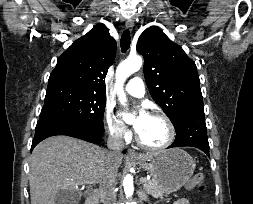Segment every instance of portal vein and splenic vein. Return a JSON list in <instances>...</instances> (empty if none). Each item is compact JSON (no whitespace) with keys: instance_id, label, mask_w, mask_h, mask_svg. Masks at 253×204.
I'll return each instance as SVG.
<instances>
[{"instance_id":"portal-vein-and-splenic-vein-1","label":"portal vein and splenic vein","mask_w":253,"mask_h":204,"mask_svg":"<svg viewBox=\"0 0 253 204\" xmlns=\"http://www.w3.org/2000/svg\"><path fill=\"white\" fill-rule=\"evenodd\" d=\"M141 181H142L143 183H146V182H147L145 179H141ZM92 183H97V182H92Z\"/></svg>"}]
</instances>
